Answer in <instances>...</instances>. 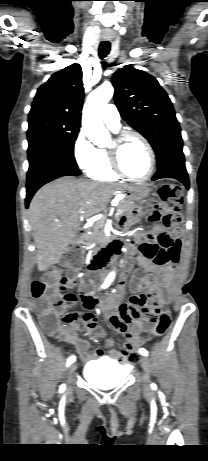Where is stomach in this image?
I'll list each match as a JSON object with an SVG mask.
<instances>
[{"instance_id":"stomach-1","label":"stomach","mask_w":208,"mask_h":461,"mask_svg":"<svg viewBox=\"0 0 208 461\" xmlns=\"http://www.w3.org/2000/svg\"><path fill=\"white\" fill-rule=\"evenodd\" d=\"M129 196L128 198L132 199L133 201H139L146 198L150 192V189L143 185L137 184L129 187Z\"/></svg>"}]
</instances>
